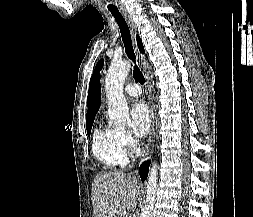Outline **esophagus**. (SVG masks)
<instances>
[{"label": "esophagus", "instance_id": "1", "mask_svg": "<svg viewBox=\"0 0 253 217\" xmlns=\"http://www.w3.org/2000/svg\"><path fill=\"white\" fill-rule=\"evenodd\" d=\"M120 11L122 15L124 16L125 20L127 21L128 26L130 27V30H131L135 54L138 58L139 65L141 67V71L145 79V89H146L148 105L150 109L151 131H150V136L148 138L147 144L145 145V148L142 151V160L144 161L152 153V150L154 147V140H155V113H154V107H153V101H152L151 86H150L149 76L147 72L148 63H147V59L145 55L141 54L138 50L136 39H135L136 25L131 15L126 11V9L121 8Z\"/></svg>", "mask_w": 253, "mask_h": 217}]
</instances>
